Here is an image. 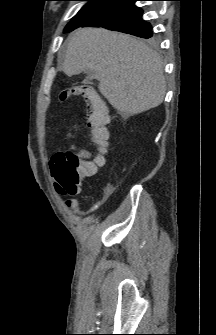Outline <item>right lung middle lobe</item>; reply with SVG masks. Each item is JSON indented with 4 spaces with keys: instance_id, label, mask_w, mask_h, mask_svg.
I'll use <instances>...</instances> for the list:
<instances>
[{
    "instance_id": "obj_1",
    "label": "right lung middle lobe",
    "mask_w": 216,
    "mask_h": 335,
    "mask_svg": "<svg viewBox=\"0 0 216 335\" xmlns=\"http://www.w3.org/2000/svg\"><path fill=\"white\" fill-rule=\"evenodd\" d=\"M88 1L82 9L72 18L67 24L64 32H71L72 30L80 27L99 13L103 12L118 0H81Z\"/></svg>"
}]
</instances>
